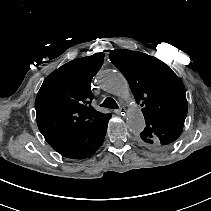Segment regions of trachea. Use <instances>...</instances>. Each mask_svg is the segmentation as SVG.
Returning <instances> with one entry per match:
<instances>
[{
	"label": "trachea",
	"mask_w": 211,
	"mask_h": 211,
	"mask_svg": "<svg viewBox=\"0 0 211 211\" xmlns=\"http://www.w3.org/2000/svg\"><path fill=\"white\" fill-rule=\"evenodd\" d=\"M100 106L104 108L118 109L117 103L111 97H107Z\"/></svg>",
	"instance_id": "3493384b"
}]
</instances>
